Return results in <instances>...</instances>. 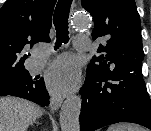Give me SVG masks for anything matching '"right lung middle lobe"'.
I'll list each match as a JSON object with an SVG mask.
<instances>
[{"label": "right lung middle lobe", "instance_id": "obj_1", "mask_svg": "<svg viewBox=\"0 0 151 131\" xmlns=\"http://www.w3.org/2000/svg\"><path fill=\"white\" fill-rule=\"evenodd\" d=\"M28 76H30V74L27 70H17L13 73L5 75L4 78L1 77L0 86L15 84L21 80H24Z\"/></svg>", "mask_w": 151, "mask_h": 131}]
</instances>
